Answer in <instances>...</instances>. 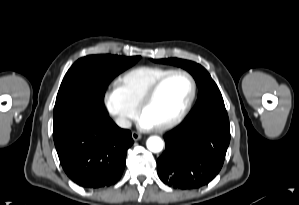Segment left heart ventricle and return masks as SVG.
I'll use <instances>...</instances> for the list:
<instances>
[{
  "mask_svg": "<svg viewBox=\"0 0 299 205\" xmlns=\"http://www.w3.org/2000/svg\"><path fill=\"white\" fill-rule=\"evenodd\" d=\"M190 92V80L182 74L173 75L162 85L142 115L154 127L166 123L180 113L190 96Z\"/></svg>",
  "mask_w": 299,
  "mask_h": 205,
  "instance_id": "1",
  "label": "left heart ventricle"
}]
</instances>
